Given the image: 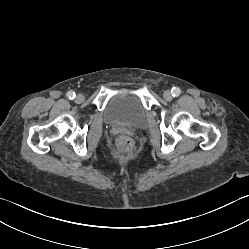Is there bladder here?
I'll return each mask as SVG.
<instances>
[{"label": "bladder", "mask_w": 249, "mask_h": 249, "mask_svg": "<svg viewBox=\"0 0 249 249\" xmlns=\"http://www.w3.org/2000/svg\"><path fill=\"white\" fill-rule=\"evenodd\" d=\"M103 119L110 125L141 127L148 119V111L134 91L120 92L107 102Z\"/></svg>", "instance_id": "obj_1"}]
</instances>
